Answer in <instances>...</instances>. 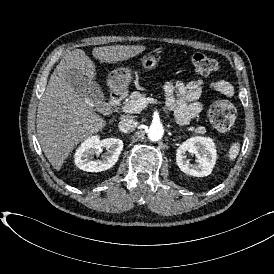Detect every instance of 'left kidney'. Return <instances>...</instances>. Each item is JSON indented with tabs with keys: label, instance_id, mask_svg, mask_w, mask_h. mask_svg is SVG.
<instances>
[{
	"label": "left kidney",
	"instance_id": "left-kidney-1",
	"mask_svg": "<svg viewBox=\"0 0 274 274\" xmlns=\"http://www.w3.org/2000/svg\"><path fill=\"white\" fill-rule=\"evenodd\" d=\"M196 156V163L191 164L186 152ZM217 159L215 143L209 137L195 136L184 141L176 151V164L182 172L195 177L211 174Z\"/></svg>",
	"mask_w": 274,
	"mask_h": 274
}]
</instances>
